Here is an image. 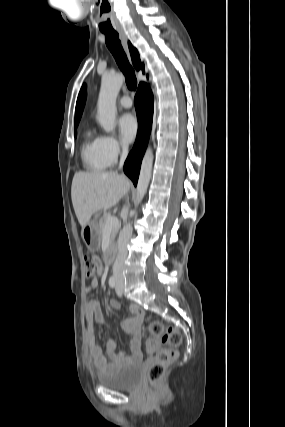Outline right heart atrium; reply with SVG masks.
<instances>
[{
    "label": "right heart atrium",
    "instance_id": "right-heart-atrium-1",
    "mask_svg": "<svg viewBox=\"0 0 285 427\" xmlns=\"http://www.w3.org/2000/svg\"><path fill=\"white\" fill-rule=\"evenodd\" d=\"M102 148L109 164L115 163L118 158L127 150L126 145L118 138L112 135H104L101 137Z\"/></svg>",
    "mask_w": 285,
    "mask_h": 427
}]
</instances>
